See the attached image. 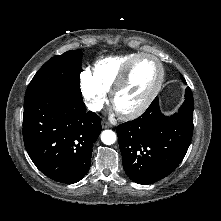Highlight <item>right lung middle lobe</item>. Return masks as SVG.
<instances>
[{
  "mask_svg": "<svg viewBox=\"0 0 221 221\" xmlns=\"http://www.w3.org/2000/svg\"><path fill=\"white\" fill-rule=\"evenodd\" d=\"M82 56L83 52L70 50L48 60L28 85L24 104L51 92H63L83 100L79 84Z\"/></svg>",
  "mask_w": 221,
  "mask_h": 221,
  "instance_id": "obj_1",
  "label": "right lung middle lobe"
}]
</instances>
